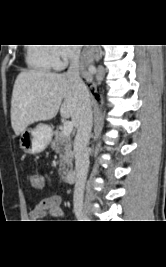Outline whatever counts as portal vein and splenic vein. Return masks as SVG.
<instances>
[{"mask_svg": "<svg viewBox=\"0 0 166 267\" xmlns=\"http://www.w3.org/2000/svg\"><path fill=\"white\" fill-rule=\"evenodd\" d=\"M73 130V123L71 121H65L63 124V134L69 136Z\"/></svg>", "mask_w": 166, "mask_h": 267, "instance_id": "1", "label": "portal vein and splenic vein"}]
</instances>
